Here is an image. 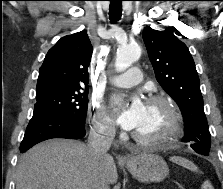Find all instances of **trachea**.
Returning <instances> with one entry per match:
<instances>
[{"label":"trachea","instance_id":"obj_1","mask_svg":"<svg viewBox=\"0 0 223 189\" xmlns=\"http://www.w3.org/2000/svg\"><path fill=\"white\" fill-rule=\"evenodd\" d=\"M122 16V0H110L109 18L111 22H117Z\"/></svg>","mask_w":223,"mask_h":189}]
</instances>
